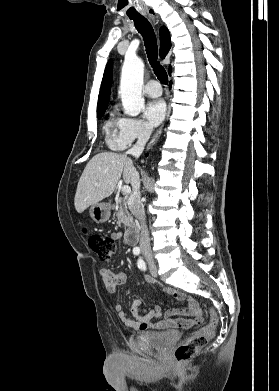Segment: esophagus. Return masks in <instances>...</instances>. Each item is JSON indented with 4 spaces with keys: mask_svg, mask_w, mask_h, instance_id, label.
Returning <instances> with one entry per match:
<instances>
[{
    "mask_svg": "<svg viewBox=\"0 0 279 391\" xmlns=\"http://www.w3.org/2000/svg\"><path fill=\"white\" fill-rule=\"evenodd\" d=\"M151 16L154 17V13H152ZM162 130H163V126L160 127L156 131V133L154 134V136L152 137L151 141L149 142V144L147 146L148 149L151 148L157 142V140L159 139V137H160V135L162 133Z\"/></svg>",
    "mask_w": 279,
    "mask_h": 391,
    "instance_id": "obj_1",
    "label": "esophagus"
}]
</instances>
